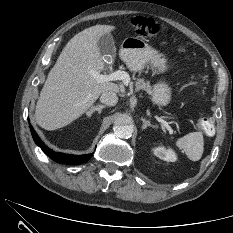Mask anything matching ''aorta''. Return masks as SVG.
<instances>
[{
	"instance_id": "aorta-1",
	"label": "aorta",
	"mask_w": 233,
	"mask_h": 233,
	"mask_svg": "<svg viewBox=\"0 0 233 233\" xmlns=\"http://www.w3.org/2000/svg\"><path fill=\"white\" fill-rule=\"evenodd\" d=\"M132 123V118L129 115L120 114L114 121L113 130L119 138H130L134 130Z\"/></svg>"
}]
</instances>
